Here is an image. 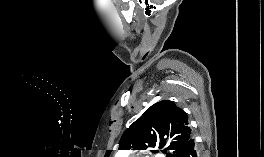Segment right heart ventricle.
I'll return each mask as SVG.
<instances>
[{
    "instance_id": "e07e8e85",
    "label": "right heart ventricle",
    "mask_w": 264,
    "mask_h": 157,
    "mask_svg": "<svg viewBox=\"0 0 264 157\" xmlns=\"http://www.w3.org/2000/svg\"><path fill=\"white\" fill-rule=\"evenodd\" d=\"M115 157H126V156H124V155H122V154H118V155L115 156Z\"/></svg>"
}]
</instances>
